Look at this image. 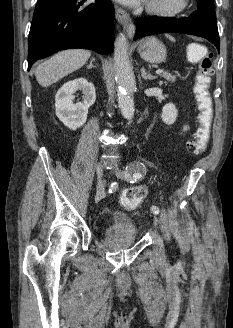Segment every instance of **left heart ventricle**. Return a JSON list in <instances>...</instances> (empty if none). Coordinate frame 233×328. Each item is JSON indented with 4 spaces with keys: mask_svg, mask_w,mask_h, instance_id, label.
Returning <instances> with one entry per match:
<instances>
[{
    "mask_svg": "<svg viewBox=\"0 0 233 328\" xmlns=\"http://www.w3.org/2000/svg\"><path fill=\"white\" fill-rule=\"evenodd\" d=\"M154 2H156L157 4H160V5H172L176 0H152Z\"/></svg>",
    "mask_w": 233,
    "mask_h": 328,
    "instance_id": "b2bd125f",
    "label": "left heart ventricle"
}]
</instances>
